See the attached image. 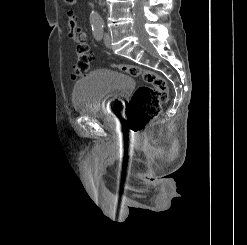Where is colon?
<instances>
[{
  "label": "colon",
  "mask_w": 247,
  "mask_h": 245,
  "mask_svg": "<svg viewBox=\"0 0 247 245\" xmlns=\"http://www.w3.org/2000/svg\"><path fill=\"white\" fill-rule=\"evenodd\" d=\"M71 6L75 0H64ZM76 40L77 62L71 70V77L79 78L86 75L91 68L92 52L85 39L74 35ZM113 67L131 76L140 77L145 85L139 86L130 98L127 106V126L133 133L141 132L146 124L155 119L161 112L162 105L168 99L165 80L156 72L142 69L131 64H113Z\"/></svg>",
  "instance_id": "colon-1"
}]
</instances>
